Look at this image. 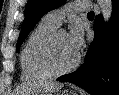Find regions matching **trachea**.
<instances>
[{
  "label": "trachea",
  "instance_id": "1",
  "mask_svg": "<svg viewBox=\"0 0 119 95\" xmlns=\"http://www.w3.org/2000/svg\"><path fill=\"white\" fill-rule=\"evenodd\" d=\"M87 15H88V16H94V12L91 11V12H89Z\"/></svg>",
  "mask_w": 119,
  "mask_h": 95
}]
</instances>
